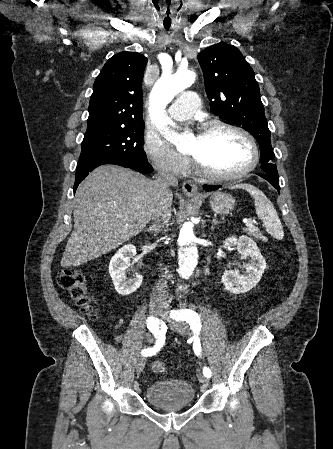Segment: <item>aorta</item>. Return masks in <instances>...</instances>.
<instances>
[{"mask_svg": "<svg viewBox=\"0 0 333 449\" xmlns=\"http://www.w3.org/2000/svg\"><path fill=\"white\" fill-rule=\"evenodd\" d=\"M195 80V72L191 63L187 71L171 73L164 72L155 83L151 91L150 116L153 122L161 126V133L174 143L181 152L190 147L188 139L170 131L166 126L171 120L166 116V108L173 98L190 86ZM178 242L179 274L182 278H189L198 264L197 237L190 222H185L176 231Z\"/></svg>", "mask_w": 333, "mask_h": 449, "instance_id": "1", "label": "aorta"}]
</instances>
